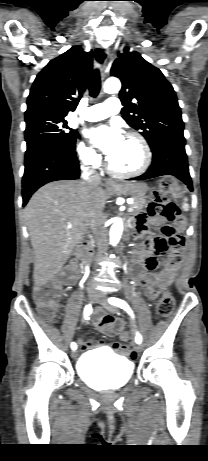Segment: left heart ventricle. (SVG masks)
I'll return each mask as SVG.
<instances>
[{"mask_svg": "<svg viewBox=\"0 0 208 461\" xmlns=\"http://www.w3.org/2000/svg\"><path fill=\"white\" fill-rule=\"evenodd\" d=\"M112 166L120 171H134L143 162L139 143L133 138L124 137L117 151L109 157Z\"/></svg>", "mask_w": 208, "mask_h": 461, "instance_id": "b2bd125f", "label": "left heart ventricle"}]
</instances>
